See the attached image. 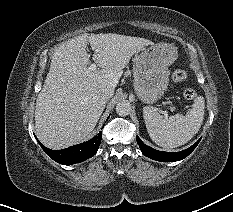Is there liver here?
Returning <instances> with one entry per match:
<instances>
[{
	"label": "liver",
	"mask_w": 233,
	"mask_h": 212,
	"mask_svg": "<svg viewBox=\"0 0 233 212\" xmlns=\"http://www.w3.org/2000/svg\"><path fill=\"white\" fill-rule=\"evenodd\" d=\"M93 61L102 69L90 71ZM153 42L119 34H82L63 42L53 53L50 70L36 100L35 128L40 142L63 149L86 139L106 104L102 87L115 90L131 57Z\"/></svg>",
	"instance_id": "liver-1"
}]
</instances>
